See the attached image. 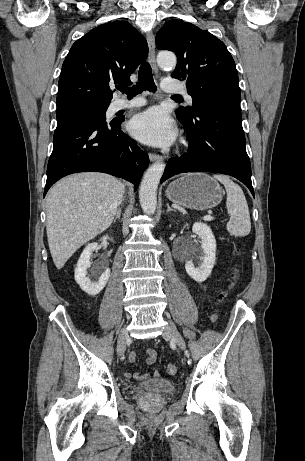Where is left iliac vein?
Wrapping results in <instances>:
<instances>
[{
  "label": "left iliac vein",
  "instance_id": "left-iliac-vein-1",
  "mask_svg": "<svg viewBox=\"0 0 305 461\" xmlns=\"http://www.w3.org/2000/svg\"><path fill=\"white\" fill-rule=\"evenodd\" d=\"M167 321L168 324L162 333L163 337L171 339L181 350H184L186 348V344L182 335L170 319Z\"/></svg>",
  "mask_w": 305,
  "mask_h": 461
}]
</instances>
